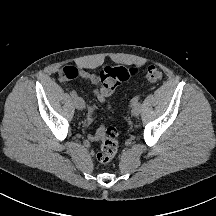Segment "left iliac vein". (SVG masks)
<instances>
[{
	"mask_svg": "<svg viewBox=\"0 0 216 216\" xmlns=\"http://www.w3.org/2000/svg\"><path fill=\"white\" fill-rule=\"evenodd\" d=\"M140 110H141L140 104L133 105L132 110H131L132 115L138 116L140 113Z\"/></svg>",
	"mask_w": 216,
	"mask_h": 216,
	"instance_id": "left-iliac-vein-1",
	"label": "left iliac vein"
}]
</instances>
